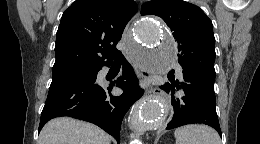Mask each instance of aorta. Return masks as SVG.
<instances>
[{"label":"aorta","mask_w":260,"mask_h":144,"mask_svg":"<svg viewBox=\"0 0 260 144\" xmlns=\"http://www.w3.org/2000/svg\"><path fill=\"white\" fill-rule=\"evenodd\" d=\"M138 41L143 47L135 48L140 62L148 67L164 68L165 60L174 51L173 39L161 31L158 21L144 17L135 26ZM147 48V49H146ZM167 104L163 100L148 97L137 102L131 112L130 125L140 134L164 125Z\"/></svg>","instance_id":"762f6f07"}]
</instances>
